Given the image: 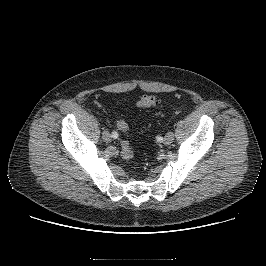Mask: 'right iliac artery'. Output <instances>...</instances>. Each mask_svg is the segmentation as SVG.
I'll return each mask as SVG.
<instances>
[{"label":"right iliac artery","mask_w":266,"mask_h":266,"mask_svg":"<svg viewBox=\"0 0 266 266\" xmlns=\"http://www.w3.org/2000/svg\"><path fill=\"white\" fill-rule=\"evenodd\" d=\"M118 137V133L116 131L112 132V138L116 139Z\"/></svg>","instance_id":"right-iliac-artery-1"}]
</instances>
